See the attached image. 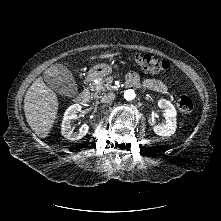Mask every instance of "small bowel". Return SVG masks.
<instances>
[{
	"label": "small bowel",
	"instance_id": "small-bowel-1",
	"mask_svg": "<svg viewBox=\"0 0 221 221\" xmlns=\"http://www.w3.org/2000/svg\"><path fill=\"white\" fill-rule=\"evenodd\" d=\"M150 73V72H149ZM153 77L146 83V86L152 90L159 92H169L170 86L167 81L163 78L156 76L154 73H150ZM131 81L137 83L138 79L136 75L131 76ZM176 97H179L181 94H175Z\"/></svg>",
	"mask_w": 221,
	"mask_h": 221
}]
</instances>
